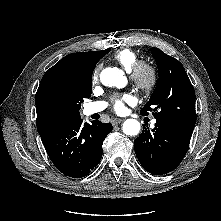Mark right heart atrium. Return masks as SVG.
I'll list each match as a JSON object with an SVG mask.
<instances>
[{
    "mask_svg": "<svg viewBox=\"0 0 221 221\" xmlns=\"http://www.w3.org/2000/svg\"><path fill=\"white\" fill-rule=\"evenodd\" d=\"M98 72H99V70L96 69L93 73V76H92L93 83H95L98 80Z\"/></svg>",
    "mask_w": 221,
    "mask_h": 221,
    "instance_id": "right-heart-atrium-1",
    "label": "right heart atrium"
}]
</instances>
